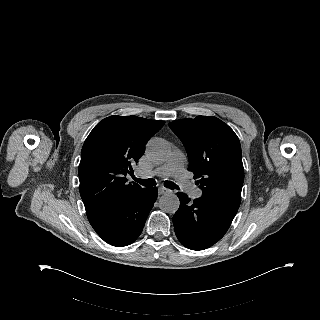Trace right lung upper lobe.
Returning a JSON list of instances; mask_svg holds the SVG:
<instances>
[{
    "mask_svg": "<svg viewBox=\"0 0 320 320\" xmlns=\"http://www.w3.org/2000/svg\"><path fill=\"white\" fill-rule=\"evenodd\" d=\"M164 121L137 116H110L91 131L79 164L80 195L87 216L115 207L141 191L126 175L144 152L147 141Z\"/></svg>",
    "mask_w": 320,
    "mask_h": 320,
    "instance_id": "cb5924a9",
    "label": "right lung upper lobe"
}]
</instances>
